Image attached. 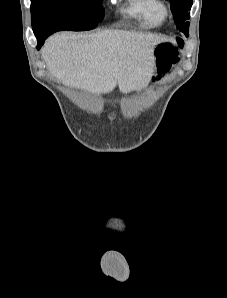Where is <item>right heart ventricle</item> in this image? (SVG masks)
<instances>
[{"mask_svg": "<svg viewBox=\"0 0 227 298\" xmlns=\"http://www.w3.org/2000/svg\"><path fill=\"white\" fill-rule=\"evenodd\" d=\"M124 12L145 28L157 27L167 17L166 5L161 0H128Z\"/></svg>", "mask_w": 227, "mask_h": 298, "instance_id": "e07e8e85", "label": "right heart ventricle"}]
</instances>
